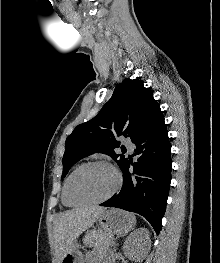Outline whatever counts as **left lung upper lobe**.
Masks as SVG:
<instances>
[{
  "label": "left lung upper lobe",
  "mask_w": 220,
  "mask_h": 263,
  "mask_svg": "<svg viewBox=\"0 0 220 263\" xmlns=\"http://www.w3.org/2000/svg\"><path fill=\"white\" fill-rule=\"evenodd\" d=\"M163 117L153 92L138 79H124L110 100L90 121L78 125L65 143L63 174L77 161L93 153L111 156L122 169L126 158L115 153L120 147L117 136L129 137L132 142L141 138Z\"/></svg>",
  "instance_id": "obj_1"
}]
</instances>
